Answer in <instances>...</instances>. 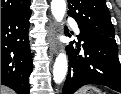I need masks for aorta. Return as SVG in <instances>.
<instances>
[{"label": "aorta", "instance_id": "aorta-1", "mask_svg": "<svg viewBox=\"0 0 121 94\" xmlns=\"http://www.w3.org/2000/svg\"><path fill=\"white\" fill-rule=\"evenodd\" d=\"M51 12L56 21L61 22L66 13V1L65 0H52ZM67 57L65 53H60L54 63L53 77L57 84H60L65 79L67 73Z\"/></svg>", "mask_w": 121, "mask_h": 94}]
</instances>
